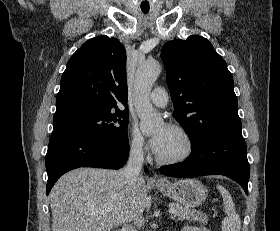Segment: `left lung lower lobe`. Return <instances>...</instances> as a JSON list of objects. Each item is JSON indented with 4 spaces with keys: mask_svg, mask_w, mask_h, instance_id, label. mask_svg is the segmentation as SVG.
<instances>
[{
    "mask_svg": "<svg viewBox=\"0 0 280 231\" xmlns=\"http://www.w3.org/2000/svg\"><path fill=\"white\" fill-rule=\"evenodd\" d=\"M192 153L184 162L163 166L161 173L178 178L224 175L248 195L249 163L241 128L210 132L191 142Z\"/></svg>",
    "mask_w": 280,
    "mask_h": 231,
    "instance_id": "left-lung-lower-lobe-1",
    "label": "left lung lower lobe"
}]
</instances>
